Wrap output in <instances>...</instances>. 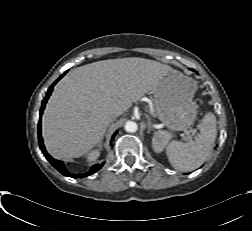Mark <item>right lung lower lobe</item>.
I'll return each instance as SVG.
<instances>
[{"mask_svg":"<svg viewBox=\"0 0 252 231\" xmlns=\"http://www.w3.org/2000/svg\"><path fill=\"white\" fill-rule=\"evenodd\" d=\"M64 76V74H62L48 89V92L45 96V98L43 99V102H42V106H41V109H40V117L42 116V113L44 111V108H45V105H46V102L50 96V94L52 93V90H53V87L54 85ZM38 130H39V145H40V149L42 150V153L44 154V156L47 158V160L52 164V166L54 168H56L60 173H62L63 175L65 176H68V177H73V178H82V177H86L88 175H92L93 173H95L96 171H98L103 165L104 163H101V164H96L94 166L91 167L90 171L85 173V174H72L70 172H68L64 166V163L62 161H58L54 158H52L48 153L47 151L45 150V147H44V144H43V140H42V136H41V132H40V124L38 125ZM117 131L114 133V135H116Z\"/></svg>","mask_w":252,"mask_h":231,"instance_id":"98d812e1","label":"right lung lower lobe"}]
</instances>
